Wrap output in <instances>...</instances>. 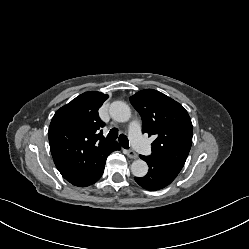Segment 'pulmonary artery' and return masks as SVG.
Listing matches in <instances>:
<instances>
[{
    "label": "pulmonary artery",
    "mask_w": 249,
    "mask_h": 249,
    "mask_svg": "<svg viewBox=\"0 0 249 249\" xmlns=\"http://www.w3.org/2000/svg\"><path fill=\"white\" fill-rule=\"evenodd\" d=\"M129 138L131 144L141 153L148 154L150 152L151 148L143 137L141 124L138 120L131 122L129 126Z\"/></svg>",
    "instance_id": "pulmonary-artery-1"
}]
</instances>
